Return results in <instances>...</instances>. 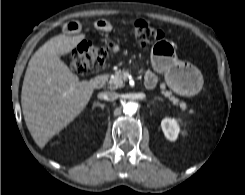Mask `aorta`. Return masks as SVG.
Here are the masks:
<instances>
[{
	"instance_id": "aorta-1",
	"label": "aorta",
	"mask_w": 245,
	"mask_h": 195,
	"mask_svg": "<svg viewBox=\"0 0 245 195\" xmlns=\"http://www.w3.org/2000/svg\"><path fill=\"white\" fill-rule=\"evenodd\" d=\"M138 105L135 102H127L123 105V112L127 115L136 113Z\"/></svg>"
}]
</instances>
